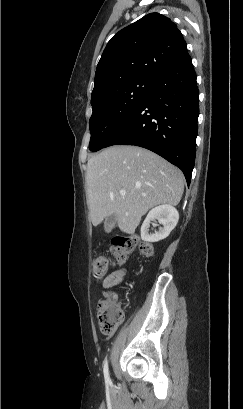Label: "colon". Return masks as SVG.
<instances>
[{
    "mask_svg": "<svg viewBox=\"0 0 243 409\" xmlns=\"http://www.w3.org/2000/svg\"><path fill=\"white\" fill-rule=\"evenodd\" d=\"M138 243L136 237H122L117 236L112 239L110 251L117 263H124L127 256L131 254ZM139 253L143 257H151L153 254V246L150 243H140ZM93 277L95 279H102L106 276L110 263L104 257L94 259ZM97 313L99 319L100 329L105 334H111L116 331L124 318V311L122 306L114 300H101L97 305Z\"/></svg>",
    "mask_w": 243,
    "mask_h": 409,
    "instance_id": "5ec220e1",
    "label": "colon"
}]
</instances>
